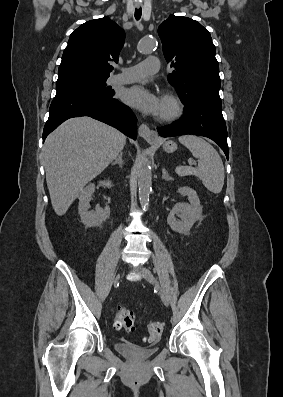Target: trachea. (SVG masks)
<instances>
[{
  "label": "trachea",
  "instance_id": "3493384b",
  "mask_svg": "<svg viewBox=\"0 0 283 397\" xmlns=\"http://www.w3.org/2000/svg\"><path fill=\"white\" fill-rule=\"evenodd\" d=\"M141 15H142V9L141 8L135 9L136 20H139L141 18Z\"/></svg>",
  "mask_w": 283,
  "mask_h": 397
}]
</instances>
